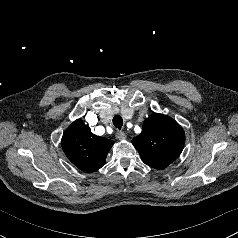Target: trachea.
<instances>
[{
    "instance_id": "trachea-1",
    "label": "trachea",
    "mask_w": 238,
    "mask_h": 238,
    "mask_svg": "<svg viewBox=\"0 0 238 238\" xmlns=\"http://www.w3.org/2000/svg\"><path fill=\"white\" fill-rule=\"evenodd\" d=\"M113 124L116 128H118L119 130L122 128L123 125V119L120 115H116L113 118Z\"/></svg>"
}]
</instances>
